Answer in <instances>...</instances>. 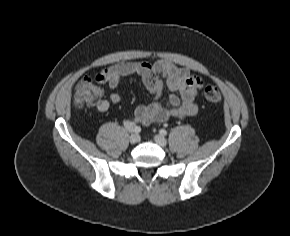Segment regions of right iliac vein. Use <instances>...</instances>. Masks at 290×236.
Wrapping results in <instances>:
<instances>
[{"label":"right iliac vein","mask_w":290,"mask_h":236,"mask_svg":"<svg viewBox=\"0 0 290 236\" xmlns=\"http://www.w3.org/2000/svg\"><path fill=\"white\" fill-rule=\"evenodd\" d=\"M139 140H140L139 135L138 134H135V133L131 134L130 137H129V141L131 143H133V144L139 142Z\"/></svg>","instance_id":"1"}]
</instances>
